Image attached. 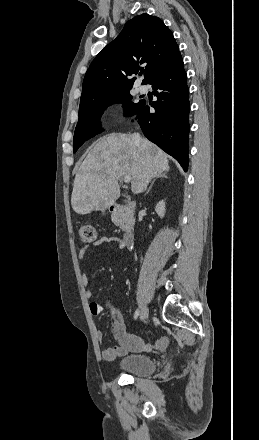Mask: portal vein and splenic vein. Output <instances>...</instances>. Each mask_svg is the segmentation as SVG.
<instances>
[{"label": "portal vein and splenic vein", "instance_id": "1", "mask_svg": "<svg viewBox=\"0 0 259 440\" xmlns=\"http://www.w3.org/2000/svg\"><path fill=\"white\" fill-rule=\"evenodd\" d=\"M124 182L129 183L132 180V177L130 175H125L123 177Z\"/></svg>", "mask_w": 259, "mask_h": 440}]
</instances>
